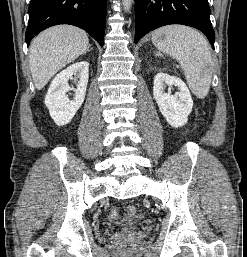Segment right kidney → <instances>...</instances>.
I'll return each instance as SVG.
<instances>
[{
	"instance_id": "right-kidney-1",
	"label": "right kidney",
	"mask_w": 247,
	"mask_h": 257,
	"mask_svg": "<svg viewBox=\"0 0 247 257\" xmlns=\"http://www.w3.org/2000/svg\"><path fill=\"white\" fill-rule=\"evenodd\" d=\"M88 69L87 61L74 63L57 74L51 82L45 97V105L58 126L68 124L81 107L88 84ZM73 76L79 79L76 89L71 88L68 84L69 79ZM69 89H73L75 92L73 100L66 95Z\"/></svg>"
}]
</instances>
